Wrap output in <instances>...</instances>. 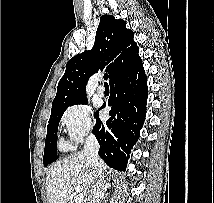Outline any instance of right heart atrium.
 Here are the masks:
<instances>
[{
  "label": "right heart atrium",
  "instance_id": "d8ad5b80",
  "mask_svg": "<svg viewBox=\"0 0 214 203\" xmlns=\"http://www.w3.org/2000/svg\"><path fill=\"white\" fill-rule=\"evenodd\" d=\"M68 139L71 143H80L93 129V122L89 107L84 103L69 106L60 119Z\"/></svg>",
  "mask_w": 214,
  "mask_h": 203
}]
</instances>
